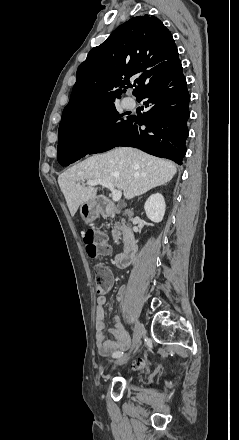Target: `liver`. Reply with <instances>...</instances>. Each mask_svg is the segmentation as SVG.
<instances>
[{
  "label": "liver",
  "mask_w": 239,
  "mask_h": 440,
  "mask_svg": "<svg viewBox=\"0 0 239 440\" xmlns=\"http://www.w3.org/2000/svg\"><path fill=\"white\" fill-rule=\"evenodd\" d=\"M176 172L175 164L169 160L154 158L135 148H115L72 166L60 174L58 184L71 216H75L79 206L97 194V188L78 186L81 180H106L117 190H123L126 200H132L170 182Z\"/></svg>",
  "instance_id": "1"
}]
</instances>
